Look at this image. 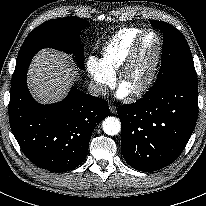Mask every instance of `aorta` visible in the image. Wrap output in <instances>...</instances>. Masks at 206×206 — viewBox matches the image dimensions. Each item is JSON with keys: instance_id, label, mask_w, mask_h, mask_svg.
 Returning a JSON list of instances; mask_svg holds the SVG:
<instances>
[{"instance_id": "obj_1", "label": "aorta", "mask_w": 206, "mask_h": 206, "mask_svg": "<svg viewBox=\"0 0 206 206\" xmlns=\"http://www.w3.org/2000/svg\"><path fill=\"white\" fill-rule=\"evenodd\" d=\"M103 131L110 136L118 134L121 130V123L116 117L110 116L103 120Z\"/></svg>"}]
</instances>
